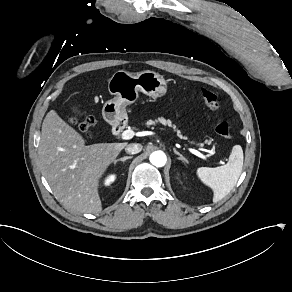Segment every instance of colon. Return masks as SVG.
Wrapping results in <instances>:
<instances>
[{
  "instance_id": "1",
  "label": "colon",
  "mask_w": 292,
  "mask_h": 292,
  "mask_svg": "<svg viewBox=\"0 0 292 292\" xmlns=\"http://www.w3.org/2000/svg\"><path fill=\"white\" fill-rule=\"evenodd\" d=\"M201 99L204 105L213 112H217L220 107V102L217 94L209 89L201 88L200 91ZM71 121L77 124L81 129L87 131L85 138L87 140H93L95 133L91 131L96 125V119L94 116L81 110H74L72 113ZM217 133L224 139H230L232 129L227 121H220L216 125Z\"/></svg>"
}]
</instances>
